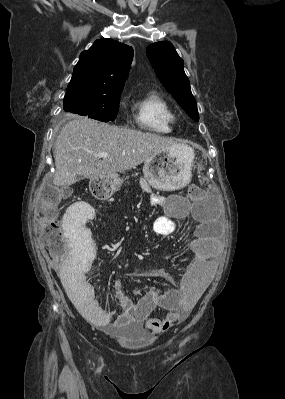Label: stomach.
<instances>
[{"instance_id": "1", "label": "stomach", "mask_w": 285, "mask_h": 399, "mask_svg": "<svg viewBox=\"0 0 285 399\" xmlns=\"http://www.w3.org/2000/svg\"><path fill=\"white\" fill-rule=\"evenodd\" d=\"M194 151L186 145H176L164 150L144 163L145 179L156 189L172 191L189 183L192 177ZM123 180L118 175L91 179L89 188L99 200L110 198L118 191Z\"/></svg>"}]
</instances>
